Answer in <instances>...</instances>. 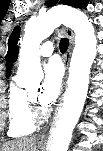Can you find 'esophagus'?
<instances>
[{"label":"esophagus","mask_w":103,"mask_h":151,"mask_svg":"<svg viewBox=\"0 0 103 151\" xmlns=\"http://www.w3.org/2000/svg\"><path fill=\"white\" fill-rule=\"evenodd\" d=\"M67 35L69 37L70 44H69L68 51H67V53L65 54V56L63 58L64 64H65V69H66V76H67V73H68L70 55H71V52H72V49H73V46H74V34H73V32L71 30H67ZM46 138H47V132L43 131L39 134V136L37 138V141L38 142H44L46 140Z\"/></svg>","instance_id":"34e87169"}]
</instances>
